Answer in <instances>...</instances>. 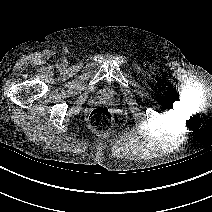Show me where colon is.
<instances>
[{
	"mask_svg": "<svg viewBox=\"0 0 212 212\" xmlns=\"http://www.w3.org/2000/svg\"><path fill=\"white\" fill-rule=\"evenodd\" d=\"M119 123L118 114L109 107L101 106L89 115V124L97 132H106Z\"/></svg>",
	"mask_w": 212,
	"mask_h": 212,
	"instance_id": "obj_1",
	"label": "colon"
}]
</instances>
